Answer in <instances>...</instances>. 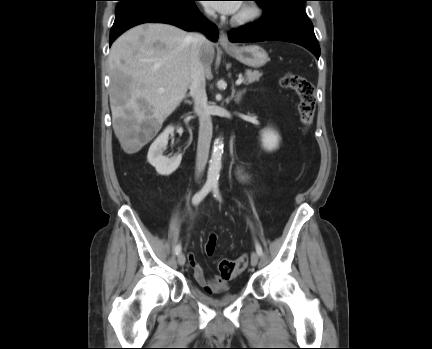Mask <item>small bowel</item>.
<instances>
[{
	"label": "small bowel",
	"mask_w": 432,
	"mask_h": 349,
	"mask_svg": "<svg viewBox=\"0 0 432 349\" xmlns=\"http://www.w3.org/2000/svg\"><path fill=\"white\" fill-rule=\"evenodd\" d=\"M238 172L243 180L248 179V176L243 173L242 168H239ZM188 260L193 270L194 278L200 286H202L208 291H216L226 287V281L223 280L220 276H215L211 279L205 277L203 269L197 262L193 253L188 254Z\"/></svg>",
	"instance_id": "small-bowel-1"
}]
</instances>
